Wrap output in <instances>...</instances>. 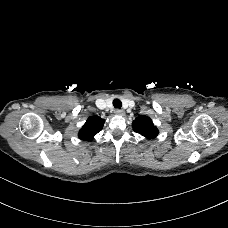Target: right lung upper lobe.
Wrapping results in <instances>:
<instances>
[{
    "label": "right lung upper lobe",
    "mask_w": 228,
    "mask_h": 228,
    "mask_svg": "<svg viewBox=\"0 0 228 228\" xmlns=\"http://www.w3.org/2000/svg\"><path fill=\"white\" fill-rule=\"evenodd\" d=\"M104 120L98 116L89 117L83 127L80 129L78 136L84 141H89L102 130Z\"/></svg>",
    "instance_id": "obj_1"
}]
</instances>
